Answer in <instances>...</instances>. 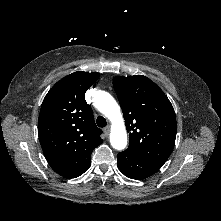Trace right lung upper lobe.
Segmentation results:
<instances>
[{
  "instance_id": "right-lung-upper-lobe-1",
  "label": "right lung upper lobe",
  "mask_w": 221,
  "mask_h": 221,
  "mask_svg": "<svg viewBox=\"0 0 221 221\" xmlns=\"http://www.w3.org/2000/svg\"><path fill=\"white\" fill-rule=\"evenodd\" d=\"M99 73L74 72L58 81L41 106L38 136L45 157L59 175L71 178L91 163V153L102 143L86 90Z\"/></svg>"
}]
</instances>
